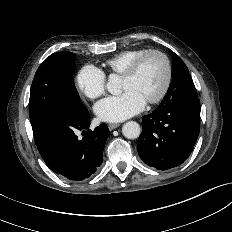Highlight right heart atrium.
I'll use <instances>...</instances> for the list:
<instances>
[{
	"instance_id": "1",
	"label": "right heart atrium",
	"mask_w": 232,
	"mask_h": 232,
	"mask_svg": "<svg viewBox=\"0 0 232 232\" xmlns=\"http://www.w3.org/2000/svg\"><path fill=\"white\" fill-rule=\"evenodd\" d=\"M79 92L88 99H96L106 90V76L102 70L93 66H83L76 76Z\"/></svg>"
}]
</instances>
